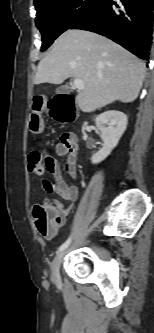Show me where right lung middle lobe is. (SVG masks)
Instances as JSON below:
<instances>
[{
	"mask_svg": "<svg viewBox=\"0 0 154 333\" xmlns=\"http://www.w3.org/2000/svg\"><path fill=\"white\" fill-rule=\"evenodd\" d=\"M101 0H39L35 2L36 26L42 33V49L73 24L87 17Z\"/></svg>",
	"mask_w": 154,
	"mask_h": 333,
	"instance_id": "obj_1",
	"label": "right lung middle lobe"
}]
</instances>
